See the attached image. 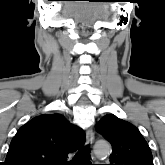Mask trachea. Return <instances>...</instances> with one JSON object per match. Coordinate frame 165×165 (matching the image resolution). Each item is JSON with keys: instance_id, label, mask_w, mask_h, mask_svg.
<instances>
[{"instance_id": "obj_1", "label": "trachea", "mask_w": 165, "mask_h": 165, "mask_svg": "<svg viewBox=\"0 0 165 165\" xmlns=\"http://www.w3.org/2000/svg\"><path fill=\"white\" fill-rule=\"evenodd\" d=\"M69 165H89L90 164V146L81 148L74 156Z\"/></svg>"}]
</instances>
